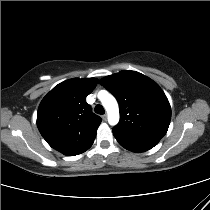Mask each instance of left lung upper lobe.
Listing matches in <instances>:
<instances>
[{
	"instance_id": "left-lung-upper-lobe-1",
	"label": "left lung upper lobe",
	"mask_w": 210,
	"mask_h": 210,
	"mask_svg": "<svg viewBox=\"0 0 210 210\" xmlns=\"http://www.w3.org/2000/svg\"><path fill=\"white\" fill-rule=\"evenodd\" d=\"M117 99L120 121L113 128L116 140L125 148L146 151L166 134L171 107L153 80L135 71H121L99 81Z\"/></svg>"
}]
</instances>
